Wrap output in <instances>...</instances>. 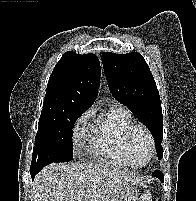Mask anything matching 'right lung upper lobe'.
<instances>
[{"instance_id": "1", "label": "right lung upper lobe", "mask_w": 196, "mask_h": 201, "mask_svg": "<svg viewBox=\"0 0 196 201\" xmlns=\"http://www.w3.org/2000/svg\"><path fill=\"white\" fill-rule=\"evenodd\" d=\"M100 85V63L95 54L68 51L56 64L44 98L41 115L88 109Z\"/></svg>"}]
</instances>
